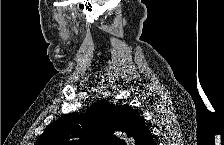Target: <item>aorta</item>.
Segmentation results:
<instances>
[{
	"label": "aorta",
	"instance_id": "obj_1",
	"mask_svg": "<svg viewBox=\"0 0 224 145\" xmlns=\"http://www.w3.org/2000/svg\"><path fill=\"white\" fill-rule=\"evenodd\" d=\"M116 135L119 136L121 139H125V140H126V135H125L124 133H121V132L118 133V132H117ZM126 141H127L128 143L133 144V141L130 140V139H129V140H126Z\"/></svg>",
	"mask_w": 224,
	"mask_h": 145
}]
</instances>
